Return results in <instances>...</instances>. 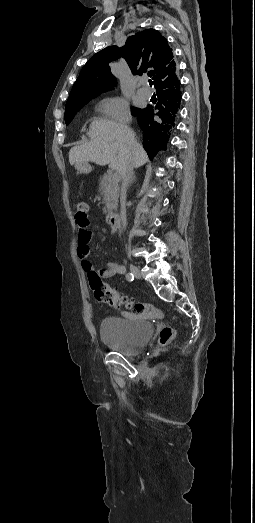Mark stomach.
Here are the masks:
<instances>
[{
  "mask_svg": "<svg viewBox=\"0 0 255 523\" xmlns=\"http://www.w3.org/2000/svg\"><path fill=\"white\" fill-rule=\"evenodd\" d=\"M79 174L81 176H90L92 174V167L90 165H81L79 167Z\"/></svg>",
  "mask_w": 255,
  "mask_h": 523,
  "instance_id": "stomach-1",
  "label": "stomach"
}]
</instances>
